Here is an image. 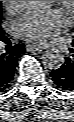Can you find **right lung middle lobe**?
<instances>
[{
    "mask_svg": "<svg viewBox=\"0 0 74 122\" xmlns=\"http://www.w3.org/2000/svg\"><path fill=\"white\" fill-rule=\"evenodd\" d=\"M0 6H1V1H0ZM0 15H1V10H0ZM1 40H3V33H2V30H1V26H0V41Z\"/></svg>",
    "mask_w": 74,
    "mask_h": 122,
    "instance_id": "1",
    "label": "right lung middle lobe"
}]
</instances>
